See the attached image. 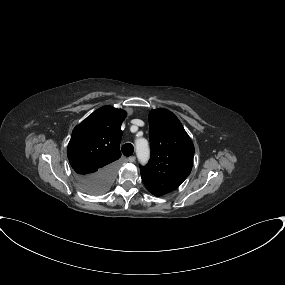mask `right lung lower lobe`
Listing matches in <instances>:
<instances>
[{
  "instance_id": "right-lung-lower-lobe-1",
  "label": "right lung lower lobe",
  "mask_w": 285,
  "mask_h": 285,
  "mask_svg": "<svg viewBox=\"0 0 285 285\" xmlns=\"http://www.w3.org/2000/svg\"><path fill=\"white\" fill-rule=\"evenodd\" d=\"M116 167V163H112L96 173L90 175H78L80 187L88 194H103L113 183Z\"/></svg>"
}]
</instances>
